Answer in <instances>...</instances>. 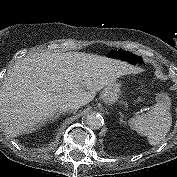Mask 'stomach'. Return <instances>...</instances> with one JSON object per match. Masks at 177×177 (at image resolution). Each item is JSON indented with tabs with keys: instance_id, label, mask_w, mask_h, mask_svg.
Returning <instances> with one entry per match:
<instances>
[{
	"instance_id": "obj_1",
	"label": "stomach",
	"mask_w": 177,
	"mask_h": 177,
	"mask_svg": "<svg viewBox=\"0 0 177 177\" xmlns=\"http://www.w3.org/2000/svg\"><path fill=\"white\" fill-rule=\"evenodd\" d=\"M108 55L111 58H117L121 61H125L133 67H139L145 62V58L142 55L126 49H114L111 50ZM120 87V83L116 81L107 85L100 95L103 102L108 105L116 103L121 95Z\"/></svg>"
}]
</instances>
